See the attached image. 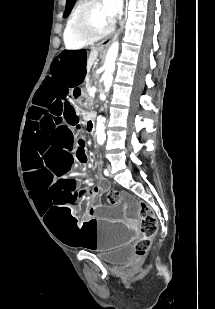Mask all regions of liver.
<instances>
[{
	"mask_svg": "<svg viewBox=\"0 0 215 309\" xmlns=\"http://www.w3.org/2000/svg\"><path fill=\"white\" fill-rule=\"evenodd\" d=\"M97 56H98V50H97L96 46H91V52H90L89 58L87 60L88 70H90V68H91L94 60H96Z\"/></svg>",
	"mask_w": 215,
	"mask_h": 309,
	"instance_id": "obj_1",
	"label": "liver"
}]
</instances>
